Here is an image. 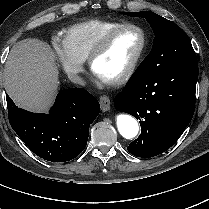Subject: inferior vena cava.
Segmentation results:
<instances>
[{
  "label": "inferior vena cava",
  "instance_id": "1",
  "mask_svg": "<svg viewBox=\"0 0 209 209\" xmlns=\"http://www.w3.org/2000/svg\"><path fill=\"white\" fill-rule=\"evenodd\" d=\"M69 79L73 83H76L79 85H85V80L77 74H70Z\"/></svg>",
  "mask_w": 209,
  "mask_h": 209
}]
</instances>
